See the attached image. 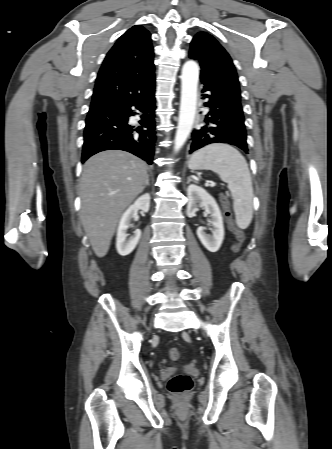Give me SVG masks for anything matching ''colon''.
Returning <instances> with one entry per match:
<instances>
[{"label":"colon","mask_w":332,"mask_h":449,"mask_svg":"<svg viewBox=\"0 0 332 449\" xmlns=\"http://www.w3.org/2000/svg\"><path fill=\"white\" fill-rule=\"evenodd\" d=\"M220 201L224 210L225 219L227 223L233 228L236 236V242L232 246V252L236 253L239 251L242 243L245 240V234L241 229L236 228L233 225L232 212L228 198L226 196H221ZM168 354L170 359L173 361H178L181 357V353L179 349L176 347L170 348ZM192 386H193L192 378L184 373L174 375L168 382V390L172 394L178 396L189 392L192 389Z\"/></svg>","instance_id":"5ec220e1"}]
</instances>
